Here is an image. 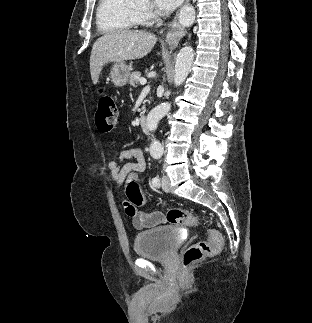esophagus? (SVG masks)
Segmentation results:
<instances>
[{"mask_svg":"<svg viewBox=\"0 0 312 323\" xmlns=\"http://www.w3.org/2000/svg\"><path fill=\"white\" fill-rule=\"evenodd\" d=\"M189 0H184L187 4ZM179 11L176 13L173 21L171 22V29L166 35V42L170 47H175L179 44L180 40L186 34V29L178 22Z\"/></svg>","mask_w":312,"mask_h":323,"instance_id":"obj_1","label":"esophagus"}]
</instances>
